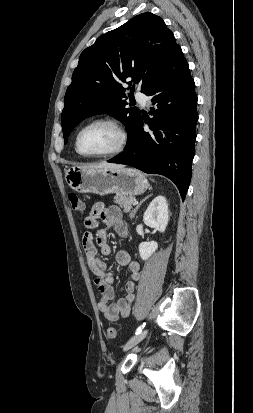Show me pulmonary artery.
<instances>
[{
    "mask_svg": "<svg viewBox=\"0 0 253 413\" xmlns=\"http://www.w3.org/2000/svg\"><path fill=\"white\" fill-rule=\"evenodd\" d=\"M136 98L143 106L148 105L149 100H148V97L144 93L137 91Z\"/></svg>",
    "mask_w": 253,
    "mask_h": 413,
    "instance_id": "pulmonary-artery-1",
    "label": "pulmonary artery"
}]
</instances>
